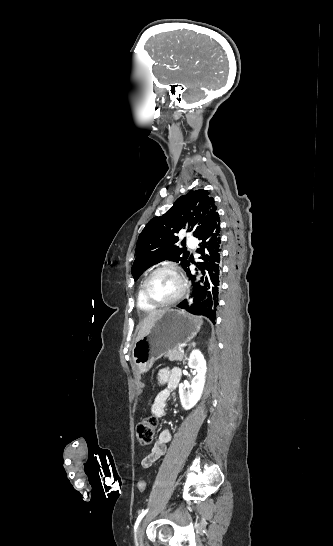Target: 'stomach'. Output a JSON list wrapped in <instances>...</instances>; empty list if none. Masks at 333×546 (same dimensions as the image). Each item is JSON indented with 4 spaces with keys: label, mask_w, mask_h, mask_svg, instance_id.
Wrapping results in <instances>:
<instances>
[{
    "label": "stomach",
    "mask_w": 333,
    "mask_h": 546,
    "mask_svg": "<svg viewBox=\"0 0 333 546\" xmlns=\"http://www.w3.org/2000/svg\"><path fill=\"white\" fill-rule=\"evenodd\" d=\"M202 320L177 309L167 310L156 320L149 332L136 341L133 362L141 373L166 353L191 341L199 332Z\"/></svg>",
    "instance_id": "1"
}]
</instances>
